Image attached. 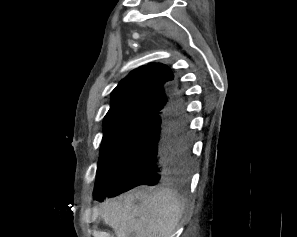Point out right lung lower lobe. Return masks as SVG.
I'll list each match as a JSON object with an SVG mask.
<instances>
[{
    "label": "right lung lower lobe",
    "mask_w": 297,
    "mask_h": 237,
    "mask_svg": "<svg viewBox=\"0 0 297 237\" xmlns=\"http://www.w3.org/2000/svg\"><path fill=\"white\" fill-rule=\"evenodd\" d=\"M182 95L175 90L165 110L155 114L126 158L111 189L94 194L101 201L139 185L154 186L185 174L190 163V139Z\"/></svg>",
    "instance_id": "obj_1"
}]
</instances>
